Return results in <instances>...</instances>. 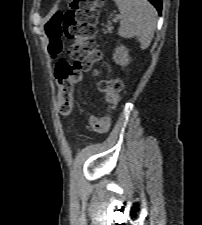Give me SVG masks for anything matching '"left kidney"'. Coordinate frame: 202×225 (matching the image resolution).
Returning a JSON list of instances; mask_svg holds the SVG:
<instances>
[{"mask_svg": "<svg viewBox=\"0 0 202 225\" xmlns=\"http://www.w3.org/2000/svg\"><path fill=\"white\" fill-rule=\"evenodd\" d=\"M113 60L116 64L125 67L129 63L128 49L124 45L117 46L113 54Z\"/></svg>", "mask_w": 202, "mask_h": 225, "instance_id": "1", "label": "left kidney"}]
</instances>
